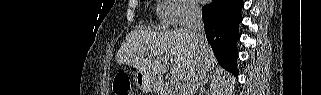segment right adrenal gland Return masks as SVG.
<instances>
[{
    "mask_svg": "<svg viewBox=\"0 0 321 95\" xmlns=\"http://www.w3.org/2000/svg\"><path fill=\"white\" fill-rule=\"evenodd\" d=\"M207 82H208V78H206V79L202 82L201 87L204 86Z\"/></svg>",
    "mask_w": 321,
    "mask_h": 95,
    "instance_id": "right-adrenal-gland-1",
    "label": "right adrenal gland"
}]
</instances>
